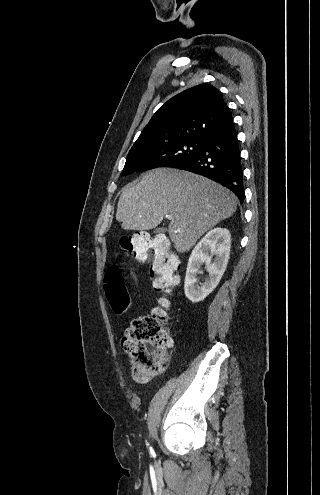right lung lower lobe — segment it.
Wrapping results in <instances>:
<instances>
[{"mask_svg":"<svg viewBox=\"0 0 320 495\" xmlns=\"http://www.w3.org/2000/svg\"><path fill=\"white\" fill-rule=\"evenodd\" d=\"M172 167L208 177L244 201L243 167L233 121L209 133L195 155Z\"/></svg>","mask_w":320,"mask_h":495,"instance_id":"1","label":"right lung lower lobe"}]
</instances>
